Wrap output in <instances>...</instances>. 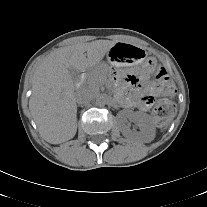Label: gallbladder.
I'll return each mask as SVG.
<instances>
[{
	"label": "gallbladder",
	"mask_w": 207,
	"mask_h": 207,
	"mask_svg": "<svg viewBox=\"0 0 207 207\" xmlns=\"http://www.w3.org/2000/svg\"><path fill=\"white\" fill-rule=\"evenodd\" d=\"M69 72L71 73V75L76 73V70H74L73 68H69Z\"/></svg>",
	"instance_id": "1"
}]
</instances>
